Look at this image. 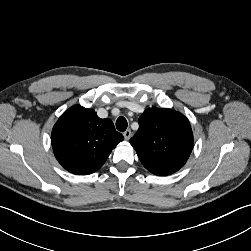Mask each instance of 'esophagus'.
Returning <instances> with one entry per match:
<instances>
[{
	"label": "esophagus",
	"instance_id": "esophagus-1",
	"mask_svg": "<svg viewBox=\"0 0 251 251\" xmlns=\"http://www.w3.org/2000/svg\"><path fill=\"white\" fill-rule=\"evenodd\" d=\"M123 135H124V138H125L126 140H129V139L131 138V136H132V132H131L130 129H127V130L123 133Z\"/></svg>",
	"mask_w": 251,
	"mask_h": 251
}]
</instances>
